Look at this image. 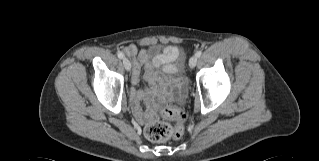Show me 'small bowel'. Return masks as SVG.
<instances>
[{
	"instance_id": "c3829d8e",
	"label": "small bowel",
	"mask_w": 319,
	"mask_h": 161,
	"mask_svg": "<svg viewBox=\"0 0 319 161\" xmlns=\"http://www.w3.org/2000/svg\"><path fill=\"white\" fill-rule=\"evenodd\" d=\"M124 53L132 59L133 62V74H132V84L138 85L141 80L142 72H141V63L147 60V56L145 51H140L137 55V47L134 44H130L123 49ZM166 52L168 55L173 54L172 46L166 47ZM145 79L149 82H153V75L150 72H147L145 75ZM161 92V96L157 98V100L149 105L148 111L143 112L142 108L139 105V101L142 99L155 96ZM175 97V92L172 88H164L159 89L156 86H151L144 89H137L131 92L132 99V109L135 115L142 121H149L154 118V109L158 101L164 99H173Z\"/></svg>"
}]
</instances>
